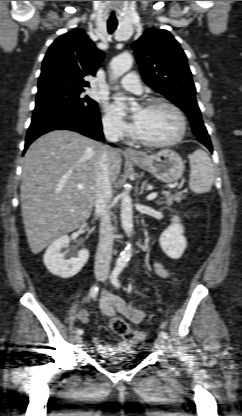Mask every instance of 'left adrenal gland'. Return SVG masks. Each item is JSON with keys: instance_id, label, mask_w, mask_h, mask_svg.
Returning <instances> with one entry per match:
<instances>
[{"instance_id": "left-adrenal-gland-1", "label": "left adrenal gland", "mask_w": 242, "mask_h": 416, "mask_svg": "<svg viewBox=\"0 0 242 416\" xmlns=\"http://www.w3.org/2000/svg\"><path fill=\"white\" fill-rule=\"evenodd\" d=\"M146 185H147V181H144V182L142 183V186H141V191H140V193H141V194L143 193V191H144V189H145Z\"/></svg>"}]
</instances>
